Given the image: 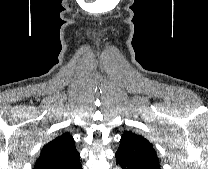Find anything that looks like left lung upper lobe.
I'll use <instances>...</instances> for the list:
<instances>
[{"instance_id": "left-lung-upper-lobe-1", "label": "left lung upper lobe", "mask_w": 208, "mask_h": 169, "mask_svg": "<svg viewBox=\"0 0 208 169\" xmlns=\"http://www.w3.org/2000/svg\"><path fill=\"white\" fill-rule=\"evenodd\" d=\"M138 163L144 169H161L159 159L152 144L144 137L125 131L118 150Z\"/></svg>"}]
</instances>
